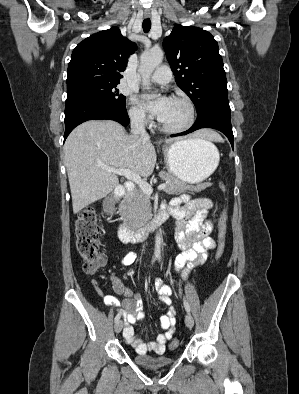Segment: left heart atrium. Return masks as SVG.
<instances>
[{
	"label": "left heart atrium",
	"instance_id": "obj_1",
	"mask_svg": "<svg viewBox=\"0 0 299 394\" xmlns=\"http://www.w3.org/2000/svg\"><path fill=\"white\" fill-rule=\"evenodd\" d=\"M142 100L144 106L160 119L165 113L170 99L167 97H155L151 94H145Z\"/></svg>",
	"mask_w": 299,
	"mask_h": 394
}]
</instances>
